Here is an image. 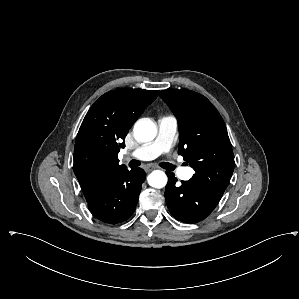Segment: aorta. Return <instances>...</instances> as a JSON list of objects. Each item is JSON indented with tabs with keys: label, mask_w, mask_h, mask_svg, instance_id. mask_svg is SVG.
<instances>
[{
	"label": "aorta",
	"mask_w": 299,
	"mask_h": 299,
	"mask_svg": "<svg viewBox=\"0 0 299 299\" xmlns=\"http://www.w3.org/2000/svg\"><path fill=\"white\" fill-rule=\"evenodd\" d=\"M157 134L155 124L148 119H141L134 125V137L140 142L152 141ZM148 184L154 188H163L167 184V176L161 170H154L148 175Z\"/></svg>",
	"instance_id": "1"
}]
</instances>
